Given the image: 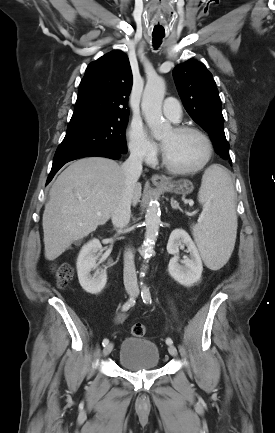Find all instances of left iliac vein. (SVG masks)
Returning a JSON list of instances; mask_svg holds the SVG:
<instances>
[{"mask_svg":"<svg viewBox=\"0 0 275 433\" xmlns=\"http://www.w3.org/2000/svg\"><path fill=\"white\" fill-rule=\"evenodd\" d=\"M168 352L171 356H177V349L173 345L168 347Z\"/></svg>","mask_w":275,"mask_h":433,"instance_id":"1","label":"left iliac vein"}]
</instances>
